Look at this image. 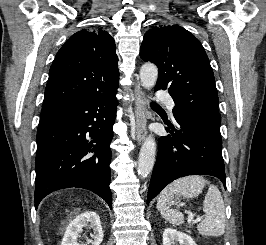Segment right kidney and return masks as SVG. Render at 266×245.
Segmentation results:
<instances>
[{
  "label": "right kidney",
  "instance_id": "obj_1",
  "mask_svg": "<svg viewBox=\"0 0 266 245\" xmlns=\"http://www.w3.org/2000/svg\"><path fill=\"white\" fill-rule=\"evenodd\" d=\"M71 245H80L78 243L79 233H82L83 227H90L93 229L94 235H92L93 241H90L91 245H100L103 241V231L99 215L93 213V211H85L78 215L76 219L71 221Z\"/></svg>",
  "mask_w": 266,
  "mask_h": 245
}]
</instances>
